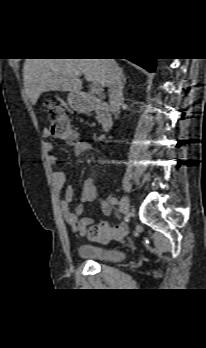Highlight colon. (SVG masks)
I'll return each instance as SVG.
<instances>
[{
    "label": "colon",
    "mask_w": 206,
    "mask_h": 348,
    "mask_svg": "<svg viewBox=\"0 0 206 348\" xmlns=\"http://www.w3.org/2000/svg\"><path fill=\"white\" fill-rule=\"evenodd\" d=\"M49 116V132L53 138L64 140L70 143L75 142L76 132L71 125L64 110L57 105L47 102ZM128 233L126 224H118L110 226L106 222H101L98 225H91L85 231V235L98 242H108L111 240H120Z\"/></svg>",
    "instance_id": "obj_1"
}]
</instances>
